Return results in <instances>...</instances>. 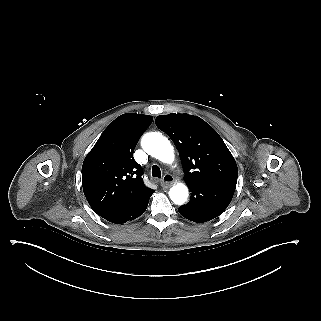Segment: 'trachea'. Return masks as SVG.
<instances>
[{
  "instance_id": "obj_1",
  "label": "trachea",
  "mask_w": 321,
  "mask_h": 321,
  "mask_svg": "<svg viewBox=\"0 0 321 321\" xmlns=\"http://www.w3.org/2000/svg\"><path fill=\"white\" fill-rule=\"evenodd\" d=\"M152 176L161 178V170L157 165H153L152 167Z\"/></svg>"
}]
</instances>
